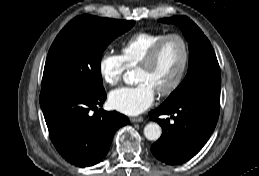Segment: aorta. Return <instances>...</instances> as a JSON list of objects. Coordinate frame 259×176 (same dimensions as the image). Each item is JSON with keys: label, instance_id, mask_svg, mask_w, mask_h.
<instances>
[{"label": "aorta", "instance_id": "obj_1", "mask_svg": "<svg viewBox=\"0 0 259 176\" xmlns=\"http://www.w3.org/2000/svg\"><path fill=\"white\" fill-rule=\"evenodd\" d=\"M124 81L129 83L131 81L130 76L124 75ZM162 134V129L159 124L155 122L148 123L144 128V135L150 141H157Z\"/></svg>", "mask_w": 259, "mask_h": 176}]
</instances>
